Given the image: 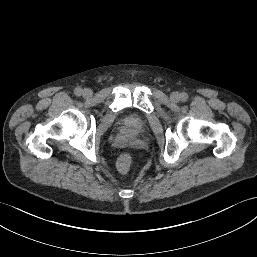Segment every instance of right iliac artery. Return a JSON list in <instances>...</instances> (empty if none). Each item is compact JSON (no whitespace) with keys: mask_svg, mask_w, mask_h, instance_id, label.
<instances>
[{"mask_svg":"<svg viewBox=\"0 0 257 257\" xmlns=\"http://www.w3.org/2000/svg\"><path fill=\"white\" fill-rule=\"evenodd\" d=\"M74 93H75V95L80 96L82 94V89L81 88H76L74 90Z\"/></svg>","mask_w":257,"mask_h":257,"instance_id":"82829eb1","label":"right iliac artery"}]
</instances>
